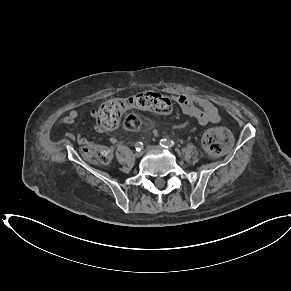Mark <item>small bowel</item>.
<instances>
[{
	"label": "small bowel",
	"instance_id": "obj_1",
	"mask_svg": "<svg viewBox=\"0 0 291 291\" xmlns=\"http://www.w3.org/2000/svg\"><path fill=\"white\" fill-rule=\"evenodd\" d=\"M175 102L179 105L182 113L196 120L200 126L209 123H218L222 120L217 106L209 99L199 95L178 94L174 97ZM91 114L96 116L97 111L92 110ZM80 118V112L77 109H71L65 116L60 118L56 128L71 125ZM67 138L71 141H77L80 145L87 144L86 137L78 134L68 133ZM111 143L117 142L116 138H111Z\"/></svg>",
	"mask_w": 291,
	"mask_h": 291
}]
</instances>
